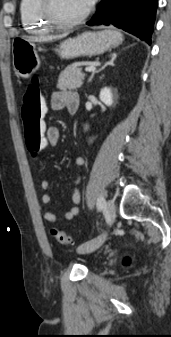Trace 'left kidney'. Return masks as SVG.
Listing matches in <instances>:
<instances>
[{"mask_svg": "<svg viewBox=\"0 0 171 337\" xmlns=\"http://www.w3.org/2000/svg\"><path fill=\"white\" fill-rule=\"evenodd\" d=\"M100 100L107 106H112L113 104V94L110 88H103L99 95Z\"/></svg>", "mask_w": 171, "mask_h": 337, "instance_id": "obj_1", "label": "left kidney"}]
</instances>
